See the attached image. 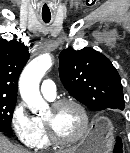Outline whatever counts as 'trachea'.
I'll return each mask as SVG.
<instances>
[{
  "label": "trachea",
  "instance_id": "1",
  "mask_svg": "<svg viewBox=\"0 0 130 153\" xmlns=\"http://www.w3.org/2000/svg\"><path fill=\"white\" fill-rule=\"evenodd\" d=\"M43 21L47 23L50 21V19H43Z\"/></svg>",
  "mask_w": 130,
  "mask_h": 153
}]
</instances>
